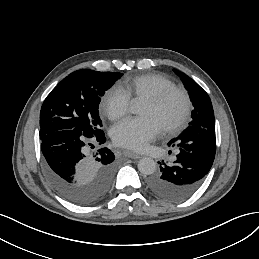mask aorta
Masks as SVG:
<instances>
[{"label": "aorta", "mask_w": 259, "mask_h": 259, "mask_svg": "<svg viewBox=\"0 0 259 259\" xmlns=\"http://www.w3.org/2000/svg\"><path fill=\"white\" fill-rule=\"evenodd\" d=\"M132 113H138V107L134 104L131 106ZM156 162L149 157L141 158L138 162V170L143 175H151L156 171Z\"/></svg>", "instance_id": "obj_1"}]
</instances>
